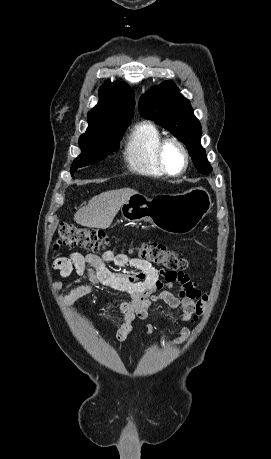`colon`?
Returning <instances> with one entry per match:
<instances>
[{"label": "colon", "mask_w": 271, "mask_h": 459, "mask_svg": "<svg viewBox=\"0 0 271 459\" xmlns=\"http://www.w3.org/2000/svg\"><path fill=\"white\" fill-rule=\"evenodd\" d=\"M110 244V237L101 229L85 228L74 224H62L58 229V238L55 247H82L92 251H99ZM140 258L163 266L168 271L177 272L188 267L189 262L179 252L166 247L162 243L146 242L135 249ZM206 295H202L197 303L194 320L204 312Z\"/></svg>", "instance_id": "1"}]
</instances>
